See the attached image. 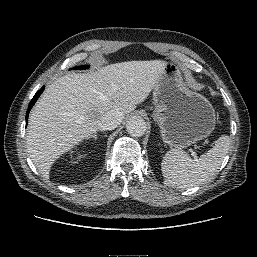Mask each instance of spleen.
Here are the masks:
<instances>
[{"instance_id": "1", "label": "spleen", "mask_w": 257, "mask_h": 257, "mask_svg": "<svg viewBox=\"0 0 257 257\" xmlns=\"http://www.w3.org/2000/svg\"><path fill=\"white\" fill-rule=\"evenodd\" d=\"M229 146L230 137L222 135L213 148L196 160L179 149L168 151L161 163L164 184L173 188H191L208 181L219 169Z\"/></svg>"}]
</instances>
